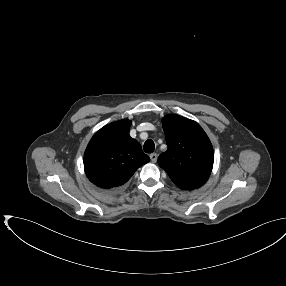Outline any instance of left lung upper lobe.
Segmentation results:
<instances>
[{
	"label": "left lung upper lobe",
	"mask_w": 286,
	"mask_h": 286,
	"mask_svg": "<svg viewBox=\"0 0 286 286\" xmlns=\"http://www.w3.org/2000/svg\"><path fill=\"white\" fill-rule=\"evenodd\" d=\"M167 151L158 164L180 189L201 187L209 178L214 162L212 144L198 123L179 115L162 119Z\"/></svg>",
	"instance_id": "left-lung-upper-lobe-1"
}]
</instances>
